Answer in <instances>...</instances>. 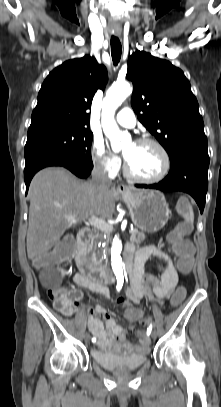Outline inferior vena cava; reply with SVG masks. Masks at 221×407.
I'll return each mask as SVG.
<instances>
[{"instance_id": "inferior-vena-cava-1", "label": "inferior vena cava", "mask_w": 221, "mask_h": 407, "mask_svg": "<svg viewBox=\"0 0 221 407\" xmlns=\"http://www.w3.org/2000/svg\"><path fill=\"white\" fill-rule=\"evenodd\" d=\"M91 183L97 187L98 191L110 187L111 180L108 178L107 172L103 165H95L92 171Z\"/></svg>"}]
</instances>
